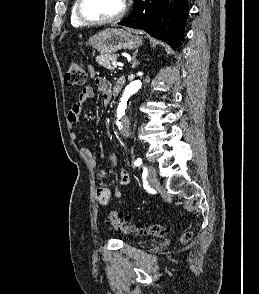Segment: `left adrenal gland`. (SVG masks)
Instances as JSON below:
<instances>
[{
	"mask_svg": "<svg viewBox=\"0 0 259 294\" xmlns=\"http://www.w3.org/2000/svg\"><path fill=\"white\" fill-rule=\"evenodd\" d=\"M136 55H137V52H135L133 54V57H132V68H135L139 63L136 61Z\"/></svg>",
	"mask_w": 259,
	"mask_h": 294,
	"instance_id": "a2214340",
	"label": "left adrenal gland"
}]
</instances>
